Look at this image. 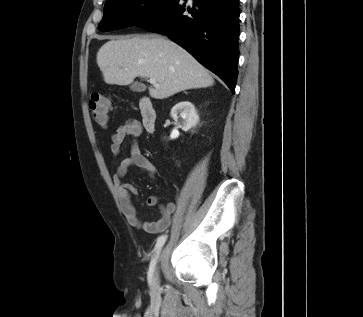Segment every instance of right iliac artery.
<instances>
[{
    "instance_id": "82829eb1",
    "label": "right iliac artery",
    "mask_w": 363,
    "mask_h": 317,
    "mask_svg": "<svg viewBox=\"0 0 363 317\" xmlns=\"http://www.w3.org/2000/svg\"><path fill=\"white\" fill-rule=\"evenodd\" d=\"M167 236L166 235H162L157 239L156 245H155V256L152 259L151 263H150V267H149V281L151 282V278L153 275V271H154V266H155V259H156V254L159 253L160 249L162 248V246L164 245L165 241H166Z\"/></svg>"
}]
</instances>
